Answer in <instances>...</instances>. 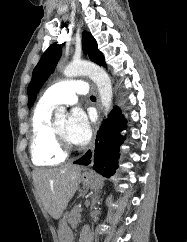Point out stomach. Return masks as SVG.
<instances>
[{
    "label": "stomach",
    "instance_id": "0dacf381",
    "mask_svg": "<svg viewBox=\"0 0 187 242\" xmlns=\"http://www.w3.org/2000/svg\"><path fill=\"white\" fill-rule=\"evenodd\" d=\"M81 181L86 188L98 190L103 186L102 179L93 172H85L81 175ZM70 214L65 213L59 220L58 238L59 242H72L73 232L69 227Z\"/></svg>",
    "mask_w": 187,
    "mask_h": 242
}]
</instances>
